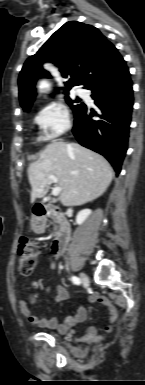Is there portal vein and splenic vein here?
Returning a JSON list of instances; mask_svg holds the SVG:
<instances>
[{"label":"portal vein and splenic vein","mask_w":145,"mask_h":385,"mask_svg":"<svg viewBox=\"0 0 145 385\" xmlns=\"http://www.w3.org/2000/svg\"><path fill=\"white\" fill-rule=\"evenodd\" d=\"M48 180H50V182H53V183H57V182H58L57 177L54 176V175L48 176ZM61 191H62L61 187H55V188H53V190H52V194H53L54 196H57V195H59V194L61 193Z\"/></svg>","instance_id":"1"}]
</instances>
